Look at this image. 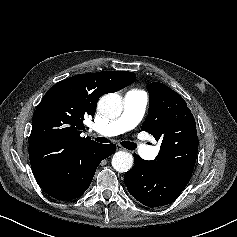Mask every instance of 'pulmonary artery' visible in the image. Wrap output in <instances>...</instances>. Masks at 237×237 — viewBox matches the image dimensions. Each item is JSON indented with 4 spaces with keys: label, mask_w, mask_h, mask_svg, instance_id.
Here are the masks:
<instances>
[{
    "label": "pulmonary artery",
    "mask_w": 237,
    "mask_h": 237,
    "mask_svg": "<svg viewBox=\"0 0 237 237\" xmlns=\"http://www.w3.org/2000/svg\"><path fill=\"white\" fill-rule=\"evenodd\" d=\"M148 105V96L139 90H130L124 97L122 114L107 125L97 127L96 134L101 136H115L136 127L142 120ZM139 154L147 159H153L158 148L147 145L139 146Z\"/></svg>",
    "instance_id": "obj_1"
}]
</instances>
